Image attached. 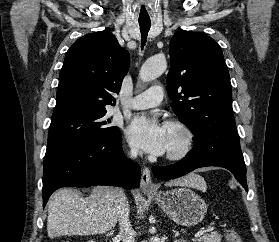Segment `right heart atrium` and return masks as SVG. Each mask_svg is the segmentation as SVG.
<instances>
[{
    "instance_id": "1",
    "label": "right heart atrium",
    "mask_w": 279,
    "mask_h": 242,
    "mask_svg": "<svg viewBox=\"0 0 279 242\" xmlns=\"http://www.w3.org/2000/svg\"><path fill=\"white\" fill-rule=\"evenodd\" d=\"M128 154L131 158L135 159L138 156V150L133 145L129 146Z\"/></svg>"
}]
</instances>
